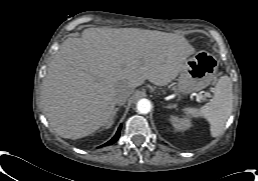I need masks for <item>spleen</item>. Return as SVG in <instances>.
Returning a JSON list of instances; mask_svg holds the SVG:
<instances>
[{
  "mask_svg": "<svg viewBox=\"0 0 258 181\" xmlns=\"http://www.w3.org/2000/svg\"><path fill=\"white\" fill-rule=\"evenodd\" d=\"M233 109L232 82L228 76L218 80L213 99L201 108H184V112L194 118H205L210 124L212 137L222 132Z\"/></svg>",
  "mask_w": 258,
  "mask_h": 181,
  "instance_id": "1",
  "label": "spleen"
}]
</instances>
